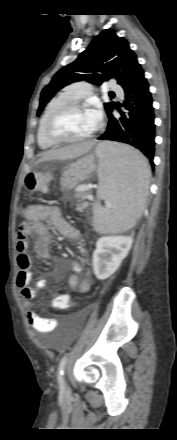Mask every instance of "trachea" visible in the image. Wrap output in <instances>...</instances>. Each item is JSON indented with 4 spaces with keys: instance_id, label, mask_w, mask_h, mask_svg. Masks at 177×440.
I'll use <instances>...</instances> for the list:
<instances>
[{
    "instance_id": "1",
    "label": "trachea",
    "mask_w": 177,
    "mask_h": 440,
    "mask_svg": "<svg viewBox=\"0 0 177 440\" xmlns=\"http://www.w3.org/2000/svg\"><path fill=\"white\" fill-rule=\"evenodd\" d=\"M110 95H114V93L111 92Z\"/></svg>"
}]
</instances>
